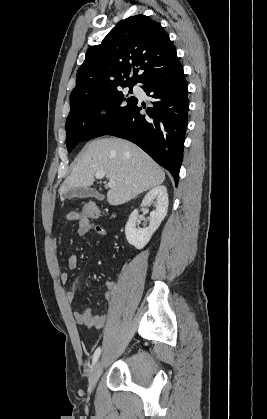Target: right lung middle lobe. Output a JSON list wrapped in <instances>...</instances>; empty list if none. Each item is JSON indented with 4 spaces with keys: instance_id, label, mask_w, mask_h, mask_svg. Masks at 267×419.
<instances>
[{
    "instance_id": "obj_1",
    "label": "right lung middle lobe",
    "mask_w": 267,
    "mask_h": 419,
    "mask_svg": "<svg viewBox=\"0 0 267 419\" xmlns=\"http://www.w3.org/2000/svg\"><path fill=\"white\" fill-rule=\"evenodd\" d=\"M129 93H132V87ZM136 100L118 89L89 95L70 103V113L65 124L68 152L81 141L105 135L110 127L129 112ZM102 109L107 111L105 117L100 115Z\"/></svg>"
}]
</instances>
